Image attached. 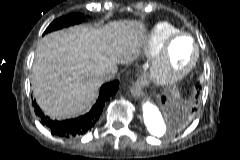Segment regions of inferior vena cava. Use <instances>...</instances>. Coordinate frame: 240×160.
Here are the masks:
<instances>
[{
    "instance_id": "1",
    "label": "inferior vena cava",
    "mask_w": 240,
    "mask_h": 160,
    "mask_svg": "<svg viewBox=\"0 0 240 160\" xmlns=\"http://www.w3.org/2000/svg\"><path fill=\"white\" fill-rule=\"evenodd\" d=\"M115 74H116V71L114 69H108L104 71L101 76L106 80V79L113 78Z\"/></svg>"
}]
</instances>
